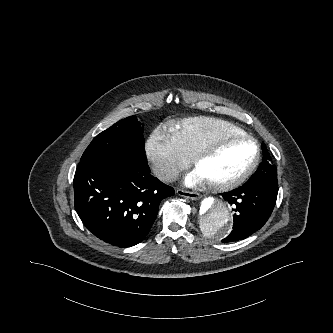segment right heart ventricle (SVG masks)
I'll list each match as a JSON object with an SVG mask.
<instances>
[{
    "label": "right heart ventricle",
    "instance_id": "e07e8e85",
    "mask_svg": "<svg viewBox=\"0 0 333 333\" xmlns=\"http://www.w3.org/2000/svg\"><path fill=\"white\" fill-rule=\"evenodd\" d=\"M224 133L247 134L232 123L207 116L186 118L170 127V134L189 159L206 142Z\"/></svg>",
    "mask_w": 333,
    "mask_h": 333
}]
</instances>
